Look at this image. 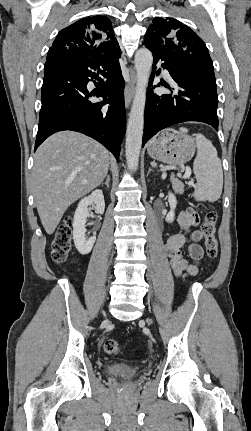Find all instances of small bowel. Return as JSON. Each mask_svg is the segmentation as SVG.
Returning a JSON list of instances; mask_svg holds the SVG:
<instances>
[{
	"mask_svg": "<svg viewBox=\"0 0 251 431\" xmlns=\"http://www.w3.org/2000/svg\"><path fill=\"white\" fill-rule=\"evenodd\" d=\"M198 215L193 208L182 210L178 215V224L181 231L169 235L165 243V252L170 260L171 268L176 276H195L198 273V265L203 258V248L200 242L203 234L200 230L191 228L198 224ZM190 233L192 243L188 247L189 256L192 262H188L182 254V248L187 242V234Z\"/></svg>",
	"mask_w": 251,
	"mask_h": 431,
	"instance_id": "obj_1",
	"label": "small bowel"
}]
</instances>
